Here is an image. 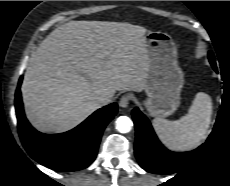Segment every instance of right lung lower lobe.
<instances>
[{
    "label": "right lung lower lobe",
    "instance_id": "98d812e1",
    "mask_svg": "<svg viewBox=\"0 0 230 186\" xmlns=\"http://www.w3.org/2000/svg\"><path fill=\"white\" fill-rule=\"evenodd\" d=\"M22 79L21 76L15 94V109L19 135L26 151L38 163L53 170L71 172L88 167L96 158L104 128L117 113V104L97 110L68 132L43 134L36 131L25 117L20 92Z\"/></svg>",
    "mask_w": 230,
    "mask_h": 186
}]
</instances>
